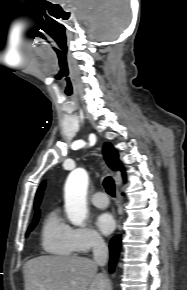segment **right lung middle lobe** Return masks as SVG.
Masks as SVG:
<instances>
[{"label":"right lung middle lobe","mask_w":187,"mask_h":290,"mask_svg":"<svg viewBox=\"0 0 187 290\" xmlns=\"http://www.w3.org/2000/svg\"><path fill=\"white\" fill-rule=\"evenodd\" d=\"M38 219H39V215L33 220V223L30 225L28 232H30L35 227V225L38 222Z\"/></svg>","instance_id":"right-lung-middle-lobe-1"}]
</instances>
